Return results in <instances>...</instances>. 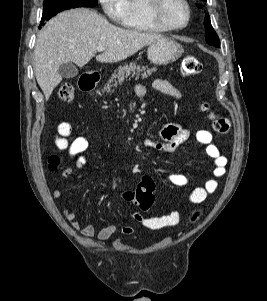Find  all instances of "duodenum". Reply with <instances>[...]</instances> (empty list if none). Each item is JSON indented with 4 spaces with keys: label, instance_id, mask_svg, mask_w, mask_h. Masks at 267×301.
I'll use <instances>...</instances> for the list:
<instances>
[{
    "label": "duodenum",
    "instance_id": "obj_1",
    "mask_svg": "<svg viewBox=\"0 0 267 301\" xmlns=\"http://www.w3.org/2000/svg\"><path fill=\"white\" fill-rule=\"evenodd\" d=\"M99 82V77L95 74H84L80 78V88L85 91L93 90Z\"/></svg>",
    "mask_w": 267,
    "mask_h": 301
}]
</instances>
